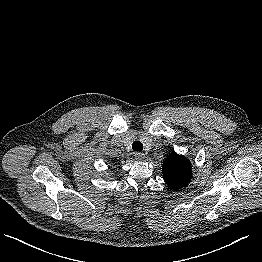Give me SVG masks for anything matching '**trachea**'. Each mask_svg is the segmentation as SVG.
I'll list each match as a JSON object with an SVG mask.
<instances>
[{
  "label": "trachea",
  "instance_id": "obj_1",
  "mask_svg": "<svg viewBox=\"0 0 262 262\" xmlns=\"http://www.w3.org/2000/svg\"><path fill=\"white\" fill-rule=\"evenodd\" d=\"M132 148L134 151L141 152L143 150V144L140 141H134Z\"/></svg>",
  "mask_w": 262,
  "mask_h": 262
}]
</instances>
